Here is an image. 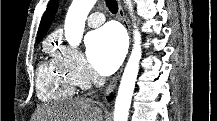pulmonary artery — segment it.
<instances>
[{
  "label": "pulmonary artery",
  "mask_w": 217,
  "mask_h": 121,
  "mask_svg": "<svg viewBox=\"0 0 217 121\" xmlns=\"http://www.w3.org/2000/svg\"><path fill=\"white\" fill-rule=\"evenodd\" d=\"M105 21V16L100 12H94L88 17V25L92 28L100 26Z\"/></svg>",
  "instance_id": "obj_1"
}]
</instances>
